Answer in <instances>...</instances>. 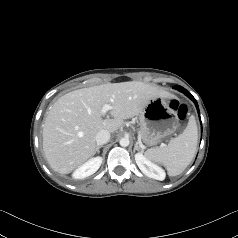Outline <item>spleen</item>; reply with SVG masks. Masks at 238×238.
Returning <instances> with one entry per match:
<instances>
[{"label": "spleen", "instance_id": "spleen-1", "mask_svg": "<svg viewBox=\"0 0 238 238\" xmlns=\"http://www.w3.org/2000/svg\"><path fill=\"white\" fill-rule=\"evenodd\" d=\"M198 141V130L195 118L190 117L185 130L167 145L150 148L145 157L153 162L162 164L169 176L181 174L193 160Z\"/></svg>", "mask_w": 238, "mask_h": 238}]
</instances>
